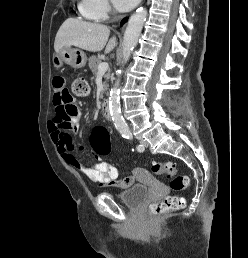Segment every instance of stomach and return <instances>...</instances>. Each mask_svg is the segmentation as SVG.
<instances>
[{
    "instance_id": "1",
    "label": "stomach",
    "mask_w": 248,
    "mask_h": 258,
    "mask_svg": "<svg viewBox=\"0 0 248 258\" xmlns=\"http://www.w3.org/2000/svg\"><path fill=\"white\" fill-rule=\"evenodd\" d=\"M86 62L85 53L71 46L64 47L53 56V65L56 69H60L64 64L70 65L74 69H80L86 65Z\"/></svg>"
}]
</instances>
